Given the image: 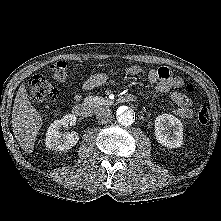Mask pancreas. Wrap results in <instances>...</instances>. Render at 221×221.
<instances>
[{
    "mask_svg": "<svg viewBox=\"0 0 221 221\" xmlns=\"http://www.w3.org/2000/svg\"><path fill=\"white\" fill-rule=\"evenodd\" d=\"M88 101L91 103V102L96 101V99L95 98H89Z\"/></svg>",
    "mask_w": 221,
    "mask_h": 221,
    "instance_id": "1",
    "label": "pancreas"
}]
</instances>
